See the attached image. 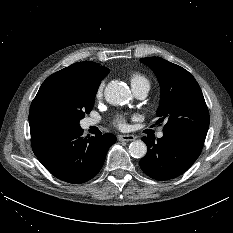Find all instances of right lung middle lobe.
Segmentation results:
<instances>
[{
	"mask_svg": "<svg viewBox=\"0 0 233 233\" xmlns=\"http://www.w3.org/2000/svg\"><path fill=\"white\" fill-rule=\"evenodd\" d=\"M99 83L84 77L51 75L42 84L35 109L47 127L80 128L79 122L89 114Z\"/></svg>",
	"mask_w": 233,
	"mask_h": 233,
	"instance_id": "1",
	"label": "right lung middle lobe"
}]
</instances>
